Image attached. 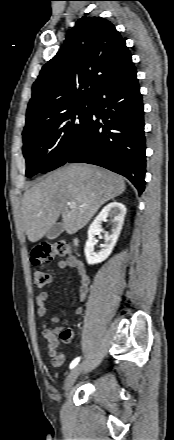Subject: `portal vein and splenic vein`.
Listing matches in <instances>:
<instances>
[{"instance_id": "18ae733b", "label": "portal vein and splenic vein", "mask_w": 174, "mask_h": 440, "mask_svg": "<svg viewBox=\"0 0 174 440\" xmlns=\"http://www.w3.org/2000/svg\"><path fill=\"white\" fill-rule=\"evenodd\" d=\"M76 206V203L75 202H69V207H71V208H73V207H75ZM86 205L85 204H83V205H81V207H85Z\"/></svg>"}]
</instances>
